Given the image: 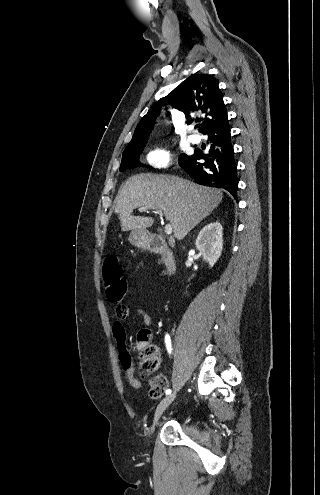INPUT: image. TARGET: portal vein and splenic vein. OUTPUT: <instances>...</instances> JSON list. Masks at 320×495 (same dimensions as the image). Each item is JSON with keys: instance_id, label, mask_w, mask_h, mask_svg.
Instances as JSON below:
<instances>
[{"instance_id": "18ae733b", "label": "portal vein and splenic vein", "mask_w": 320, "mask_h": 495, "mask_svg": "<svg viewBox=\"0 0 320 495\" xmlns=\"http://www.w3.org/2000/svg\"><path fill=\"white\" fill-rule=\"evenodd\" d=\"M147 210H148L147 207H141V208H139V211L140 212H144V211H147ZM155 213L158 214L160 217L163 216V213L160 210H156ZM165 233L167 235H170L172 233V226L170 224L165 225Z\"/></svg>"}]
</instances>
